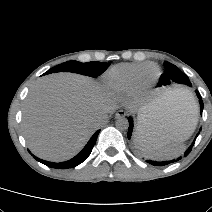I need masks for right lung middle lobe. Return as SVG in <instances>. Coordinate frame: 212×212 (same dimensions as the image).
Instances as JSON below:
<instances>
[{"label": "right lung middle lobe", "mask_w": 212, "mask_h": 212, "mask_svg": "<svg viewBox=\"0 0 212 212\" xmlns=\"http://www.w3.org/2000/svg\"><path fill=\"white\" fill-rule=\"evenodd\" d=\"M109 63L106 62H88L81 63L78 61H67L56 67L51 68L49 73L54 72H74L90 77H97L101 75L109 67Z\"/></svg>", "instance_id": "obj_1"}]
</instances>
